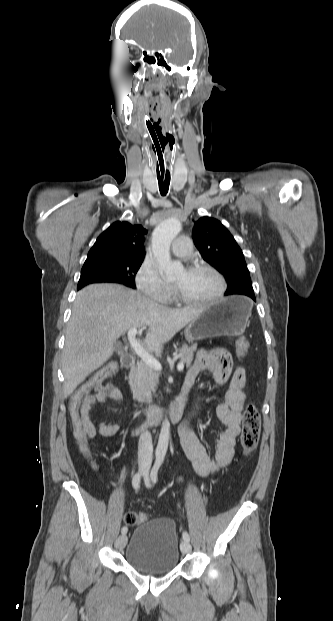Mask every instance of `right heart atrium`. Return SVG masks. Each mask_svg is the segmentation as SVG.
<instances>
[{
    "instance_id": "obj_1",
    "label": "right heart atrium",
    "mask_w": 333,
    "mask_h": 621,
    "mask_svg": "<svg viewBox=\"0 0 333 621\" xmlns=\"http://www.w3.org/2000/svg\"><path fill=\"white\" fill-rule=\"evenodd\" d=\"M135 283L145 296L159 303L167 302L172 295V286L166 283L157 268L147 261L139 267Z\"/></svg>"
}]
</instances>
